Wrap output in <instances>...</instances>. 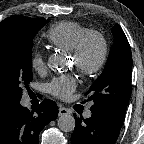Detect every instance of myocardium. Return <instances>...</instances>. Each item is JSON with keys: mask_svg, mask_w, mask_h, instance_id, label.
<instances>
[{"mask_svg": "<svg viewBox=\"0 0 144 144\" xmlns=\"http://www.w3.org/2000/svg\"><path fill=\"white\" fill-rule=\"evenodd\" d=\"M92 40H96L99 43L100 53L93 63L88 64L85 61L86 49ZM108 54L109 46L106 37L95 30H89L83 34L71 51L72 58L75 60V68L85 77H94L99 74L107 62Z\"/></svg>", "mask_w": 144, "mask_h": 144, "instance_id": "f54148a6", "label": "myocardium"}]
</instances>
